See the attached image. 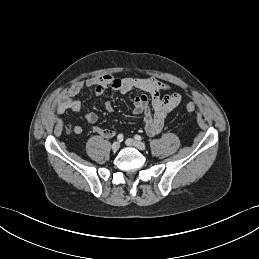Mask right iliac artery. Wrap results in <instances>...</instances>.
Listing matches in <instances>:
<instances>
[{
    "mask_svg": "<svg viewBox=\"0 0 259 259\" xmlns=\"http://www.w3.org/2000/svg\"><path fill=\"white\" fill-rule=\"evenodd\" d=\"M123 138H124L123 134H119V135L117 136V139H118L119 142H122V141H123Z\"/></svg>",
    "mask_w": 259,
    "mask_h": 259,
    "instance_id": "right-iliac-artery-1",
    "label": "right iliac artery"
}]
</instances>
